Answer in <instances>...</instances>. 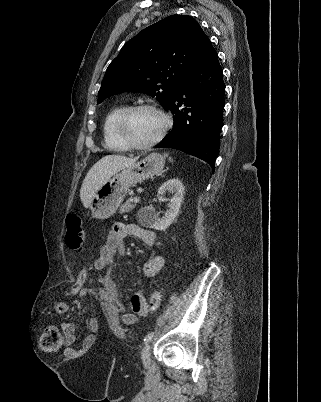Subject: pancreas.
<instances>
[{"label": "pancreas", "mask_w": 321, "mask_h": 402, "mask_svg": "<svg viewBox=\"0 0 321 402\" xmlns=\"http://www.w3.org/2000/svg\"><path fill=\"white\" fill-rule=\"evenodd\" d=\"M136 204L134 203L133 199L127 200L124 204H122L119 208V213H128L134 209Z\"/></svg>", "instance_id": "1"}]
</instances>
